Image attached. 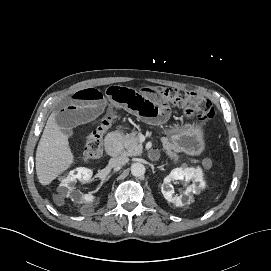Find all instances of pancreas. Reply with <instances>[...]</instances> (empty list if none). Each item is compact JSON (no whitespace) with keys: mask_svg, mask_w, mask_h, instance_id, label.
Masks as SVG:
<instances>
[{"mask_svg":"<svg viewBox=\"0 0 271 271\" xmlns=\"http://www.w3.org/2000/svg\"><path fill=\"white\" fill-rule=\"evenodd\" d=\"M123 151L122 155L124 156H136L142 153L143 146L139 141V137L136 132H131L123 136ZM164 147L167 155L170 157L173 162H177L178 155L173 151V146L164 141Z\"/></svg>","mask_w":271,"mask_h":271,"instance_id":"1","label":"pancreas"}]
</instances>
